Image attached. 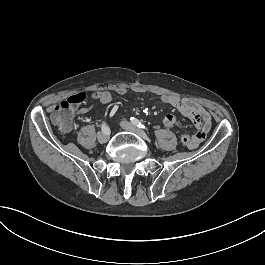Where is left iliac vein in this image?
<instances>
[{"instance_id": "4c4485c4", "label": "left iliac vein", "mask_w": 265, "mask_h": 265, "mask_svg": "<svg viewBox=\"0 0 265 265\" xmlns=\"http://www.w3.org/2000/svg\"><path fill=\"white\" fill-rule=\"evenodd\" d=\"M120 126L127 131H131L136 133L137 135H139L143 140L148 141L149 137L148 135L141 129L137 128L135 125H133L132 123L128 122V121H122L120 123Z\"/></svg>"}]
</instances>
